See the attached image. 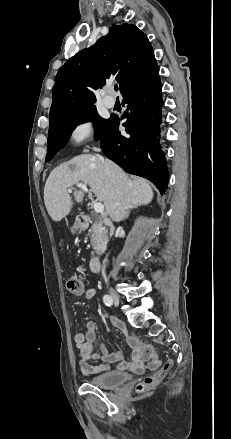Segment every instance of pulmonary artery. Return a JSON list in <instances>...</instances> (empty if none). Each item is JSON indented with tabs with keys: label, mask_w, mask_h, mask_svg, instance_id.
<instances>
[{
	"label": "pulmonary artery",
	"mask_w": 231,
	"mask_h": 439,
	"mask_svg": "<svg viewBox=\"0 0 231 439\" xmlns=\"http://www.w3.org/2000/svg\"><path fill=\"white\" fill-rule=\"evenodd\" d=\"M103 103L107 108H113L115 105V100L112 97L104 96Z\"/></svg>",
	"instance_id": "obj_1"
}]
</instances>
